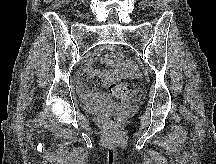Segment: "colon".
Here are the masks:
<instances>
[{
	"mask_svg": "<svg viewBox=\"0 0 216 164\" xmlns=\"http://www.w3.org/2000/svg\"><path fill=\"white\" fill-rule=\"evenodd\" d=\"M100 84L107 86L111 97L119 100L132 98L136 95L137 90L129 83H109V81L102 80ZM122 118L118 113L112 112L108 115V122L111 126H119Z\"/></svg>",
	"mask_w": 216,
	"mask_h": 164,
	"instance_id": "1",
	"label": "colon"
}]
</instances>
